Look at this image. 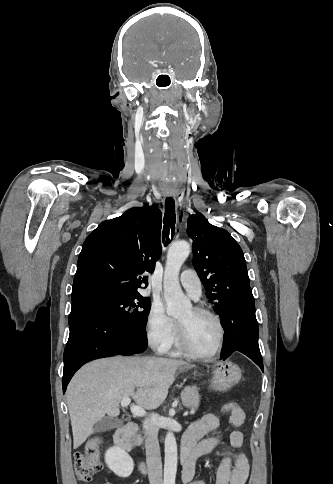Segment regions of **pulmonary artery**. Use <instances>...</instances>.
<instances>
[{"instance_id": "e3ab8cb5", "label": "pulmonary artery", "mask_w": 333, "mask_h": 484, "mask_svg": "<svg viewBox=\"0 0 333 484\" xmlns=\"http://www.w3.org/2000/svg\"><path fill=\"white\" fill-rule=\"evenodd\" d=\"M180 283L194 300L199 299L201 296L202 285L194 270H184L180 275Z\"/></svg>"}]
</instances>
